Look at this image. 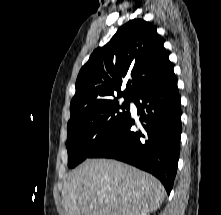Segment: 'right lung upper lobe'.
Segmentation results:
<instances>
[{
	"instance_id": "cb5924a9",
	"label": "right lung upper lobe",
	"mask_w": 221,
	"mask_h": 215,
	"mask_svg": "<svg viewBox=\"0 0 221 215\" xmlns=\"http://www.w3.org/2000/svg\"><path fill=\"white\" fill-rule=\"evenodd\" d=\"M163 43L156 28L142 19H133L120 27L81 68L71 105L121 96L133 99L141 90L166 78L173 73V65Z\"/></svg>"
}]
</instances>
